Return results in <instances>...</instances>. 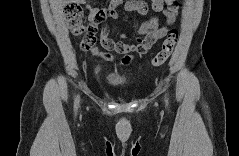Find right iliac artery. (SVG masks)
Instances as JSON below:
<instances>
[{
	"instance_id": "obj_1",
	"label": "right iliac artery",
	"mask_w": 239,
	"mask_h": 156,
	"mask_svg": "<svg viewBox=\"0 0 239 156\" xmlns=\"http://www.w3.org/2000/svg\"><path fill=\"white\" fill-rule=\"evenodd\" d=\"M79 100H80V97L79 95L76 97L75 99V102H74V109L77 110L78 109V106H79Z\"/></svg>"
}]
</instances>
